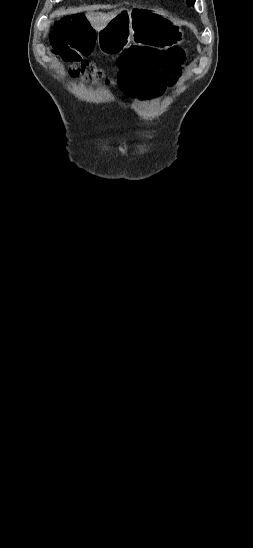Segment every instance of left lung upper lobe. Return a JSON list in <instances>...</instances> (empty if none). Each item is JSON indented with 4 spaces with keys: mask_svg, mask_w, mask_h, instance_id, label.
<instances>
[{
    "mask_svg": "<svg viewBox=\"0 0 253 548\" xmlns=\"http://www.w3.org/2000/svg\"><path fill=\"white\" fill-rule=\"evenodd\" d=\"M188 6L194 5L195 0H186Z\"/></svg>",
    "mask_w": 253,
    "mask_h": 548,
    "instance_id": "5c2ea615",
    "label": "left lung upper lobe"
}]
</instances>
